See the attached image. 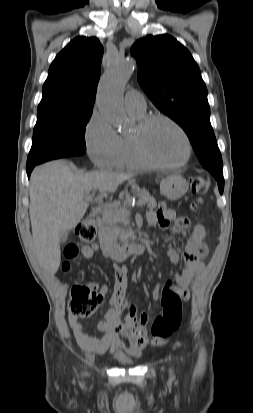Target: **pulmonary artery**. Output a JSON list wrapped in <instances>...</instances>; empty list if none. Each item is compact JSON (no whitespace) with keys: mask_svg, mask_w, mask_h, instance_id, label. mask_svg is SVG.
Wrapping results in <instances>:
<instances>
[{"mask_svg":"<svg viewBox=\"0 0 253 413\" xmlns=\"http://www.w3.org/2000/svg\"><path fill=\"white\" fill-rule=\"evenodd\" d=\"M125 107L129 112L145 113L146 101L144 96L136 90L127 91L125 94Z\"/></svg>","mask_w":253,"mask_h":413,"instance_id":"1","label":"pulmonary artery"}]
</instances>
